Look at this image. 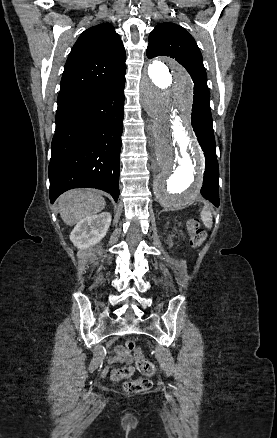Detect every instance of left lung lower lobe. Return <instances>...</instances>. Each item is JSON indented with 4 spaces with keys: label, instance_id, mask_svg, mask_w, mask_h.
<instances>
[{
    "label": "left lung lower lobe",
    "instance_id": "left-lung-lower-lobe-1",
    "mask_svg": "<svg viewBox=\"0 0 277 438\" xmlns=\"http://www.w3.org/2000/svg\"><path fill=\"white\" fill-rule=\"evenodd\" d=\"M191 120L198 142L204 151L206 161L203 186L200 192L205 199H208L215 206H219V169L215 152L211 112L193 108Z\"/></svg>",
    "mask_w": 277,
    "mask_h": 438
}]
</instances>
